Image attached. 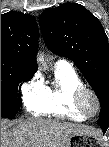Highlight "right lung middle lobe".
Returning a JSON list of instances; mask_svg holds the SVG:
<instances>
[{"instance_id":"dd1d6c3e","label":"right lung middle lobe","mask_w":109,"mask_h":147,"mask_svg":"<svg viewBox=\"0 0 109 147\" xmlns=\"http://www.w3.org/2000/svg\"><path fill=\"white\" fill-rule=\"evenodd\" d=\"M34 72L13 63L1 61V117L13 119L21 111L22 101L17 96L18 84L32 78Z\"/></svg>"}]
</instances>
